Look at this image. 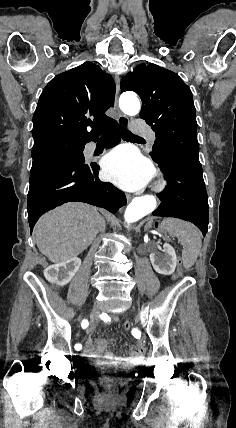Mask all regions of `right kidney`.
<instances>
[{
	"label": "right kidney",
	"mask_w": 236,
	"mask_h": 428,
	"mask_svg": "<svg viewBox=\"0 0 236 428\" xmlns=\"http://www.w3.org/2000/svg\"><path fill=\"white\" fill-rule=\"evenodd\" d=\"M80 266V258L72 256V258H69L66 262H59V264L48 266V268L44 270V276L48 282H51V284H56V286H65V284H69V282H71ZM56 286H53L52 288L56 289Z\"/></svg>",
	"instance_id": "ca27d5eb"
}]
</instances>
